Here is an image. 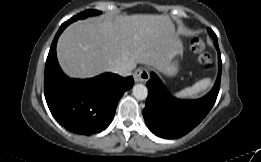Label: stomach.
I'll use <instances>...</instances> for the list:
<instances>
[{"label": "stomach", "instance_id": "1", "mask_svg": "<svg viewBox=\"0 0 261 162\" xmlns=\"http://www.w3.org/2000/svg\"><path fill=\"white\" fill-rule=\"evenodd\" d=\"M183 55V47L179 41L175 47L173 56L159 69L166 76L173 77L179 71V59Z\"/></svg>", "mask_w": 261, "mask_h": 162}]
</instances>
